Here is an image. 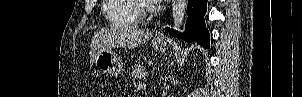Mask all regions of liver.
Here are the masks:
<instances>
[{"label": "liver", "mask_w": 302, "mask_h": 97, "mask_svg": "<svg viewBox=\"0 0 302 97\" xmlns=\"http://www.w3.org/2000/svg\"><path fill=\"white\" fill-rule=\"evenodd\" d=\"M153 36L149 29L134 25H114L96 31L90 47L91 63L102 49L112 47L136 48L146 43Z\"/></svg>", "instance_id": "obj_1"}]
</instances>
